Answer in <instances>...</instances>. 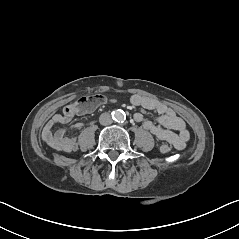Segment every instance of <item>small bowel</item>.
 Segmentation results:
<instances>
[{
	"label": "small bowel",
	"mask_w": 239,
	"mask_h": 239,
	"mask_svg": "<svg viewBox=\"0 0 239 239\" xmlns=\"http://www.w3.org/2000/svg\"><path fill=\"white\" fill-rule=\"evenodd\" d=\"M115 101L114 99L111 100ZM133 106H140L148 110L156 111L159 116L156 122L147 120L143 114L136 113L134 120L152 133L157 139L172 144L175 148L183 150L189 139V132L185 122L177 116L172 108L154 98L135 94L130 98ZM93 107L75 109V104L68 105L62 113L55 114L44 126L42 131L43 141L52 149L62 152H73L77 149V142L73 135L83 126L82 123H74L66 128L54 131L56 124L69 122L74 115L83 114Z\"/></svg>",
	"instance_id": "small-bowel-1"
}]
</instances>
